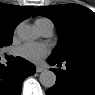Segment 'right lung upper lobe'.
<instances>
[{
	"mask_svg": "<svg viewBox=\"0 0 95 95\" xmlns=\"http://www.w3.org/2000/svg\"><path fill=\"white\" fill-rule=\"evenodd\" d=\"M33 7H23L0 3V37L13 36L16 26L28 18Z\"/></svg>",
	"mask_w": 95,
	"mask_h": 95,
	"instance_id": "obj_1",
	"label": "right lung upper lobe"
}]
</instances>
